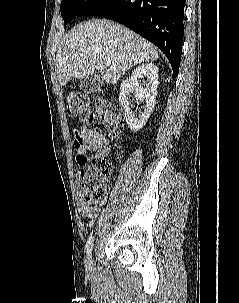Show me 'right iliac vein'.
Segmentation results:
<instances>
[{
    "mask_svg": "<svg viewBox=\"0 0 239 303\" xmlns=\"http://www.w3.org/2000/svg\"><path fill=\"white\" fill-rule=\"evenodd\" d=\"M85 267L87 270H92L94 268V262L91 256H89L85 261Z\"/></svg>",
    "mask_w": 239,
    "mask_h": 303,
    "instance_id": "right-iliac-vein-1",
    "label": "right iliac vein"
}]
</instances>
